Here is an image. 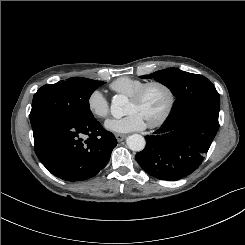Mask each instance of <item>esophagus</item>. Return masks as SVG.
<instances>
[{
    "instance_id": "1",
    "label": "esophagus",
    "mask_w": 245,
    "mask_h": 245,
    "mask_svg": "<svg viewBox=\"0 0 245 245\" xmlns=\"http://www.w3.org/2000/svg\"><path fill=\"white\" fill-rule=\"evenodd\" d=\"M115 137L117 139V141H123L126 138V135L124 134H115Z\"/></svg>"
}]
</instances>
